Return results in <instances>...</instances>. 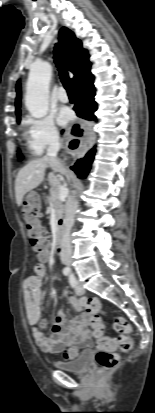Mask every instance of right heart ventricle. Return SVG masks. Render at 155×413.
I'll list each match as a JSON object with an SVG mask.
<instances>
[{
  "instance_id": "right-heart-ventricle-1",
  "label": "right heart ventricle",
  "mask_w": 155,
  "mask_h": 413,
  "mask_svg": "<svg viewBox=\"0 0 155 413\" xmlns=\"http://www.w3.org/2000/svg\"><path fill=\"white\" fill-rule=\"evenodd\" d=\"M28 148H29V150H32V148H31L30 144H29ZM32 151H33V150H32Z\"/></svg>"
}]
</instances>
